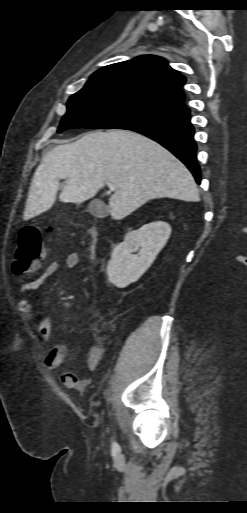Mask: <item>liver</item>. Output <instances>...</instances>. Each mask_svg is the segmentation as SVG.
I'll return each instance as SVG.
<instances>
[{"label":"liver","mask_w":247,"mask_h":513,"mask_svg":"<svg viewBox=\"0 0 247 513\" xmlns=\"http://www.w3.org/2000/svg\"><path fill=\"white\" fill-rule=\"evenodd\" d=\"M66 179L59 198L82 203L106 183L115 186L110 214L121 220L149 200H200L194 178L166 148L129 130L93 131L43 156L30 185L24 220L48 209L56 200L59 180Z\"/></svg>","instance_id":"1"}]
</instances>
